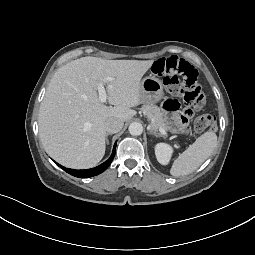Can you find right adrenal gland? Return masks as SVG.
<instances>
[{
	"label": "right adrenal gland",
	"mask_w": 255,
	"mask_h": 255,
	"mask_svg": "<svg viewBox=\"0 0 255 255\" xmlns=\"http://www.w3.org/2000/svg\"><path fill=\"white\" fill-rule=\"evenodd\" d=\"M109 135H110L109 133L106 134V143H107V144L109 143V141H108V136H109Z\"/></svg>",
	"instance_id": "obj_1"
}]
</instances>
